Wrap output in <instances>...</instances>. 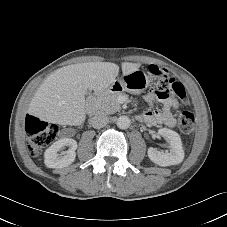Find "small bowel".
Segmentation results:
<instances>
[{
    "label": "small bowel",
    "instance_id": "obj_1",
    "mask_svg": "<svg viewBox=\"0 0 227 227\" xmlns=\"http://www.w3.org/2000/svg\"><path fill=\"white\" fill-rule=\"evenodd\" d=\"M145 100L149 104L156 102L162 104V110H151L143 113L140 119L149 126L164 124L169 127H174L176 120L172 114V110L178 107V102L174 98V93L171 90L149 92L145 95Z\"/></svg>",
    "mask_w": 227,
    "mask_h": 227
}]
</instances>
